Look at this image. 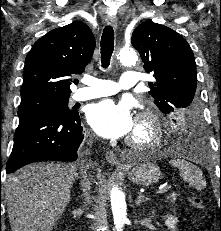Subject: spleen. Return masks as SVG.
Here are the masks:
<instances>
[{"label": "spleen", "mask_w": 221, "mask_h": 231, "mask_svg": "<svg viewBox=\"0 0 221 231\" xmlns=\"http://www.w3.org/2000/svg\"><path fill=\"white\" fill-rule=\"evenodd\" d=\"M169 163L179 169L181 178L188 182L190 186L197 190L206 188V181L203 178L202 171L197 166L182 159H173Z\"/></svg>", "instance_id": "3e777b00"}]
</instances>
